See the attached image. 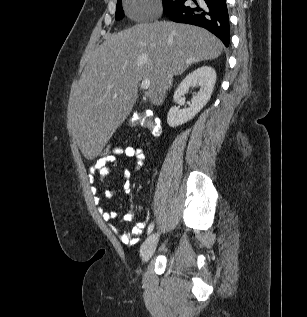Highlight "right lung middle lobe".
Returning a JSON list of instances; mask_svg holds the SVG:
<instances>
[{"label": "right lung middle lobe", "mask_w": 307, "mask_h": 317, "mask_svg": "<svg viewBox=\"0 0 307 317\" xmlns=\"http://www.w3.org/2000/svg\"><path fill=\"white\" fill-rule=\"evenodd\" d=\"M162 2H163L164 10H165L174 2V0H162ZM123 16H124V11L122 9L121 0H119L117 1V6H116V20L122 19Z\"/></svg>", "instance_id": "dd1d6c3e"}]
</instances>
